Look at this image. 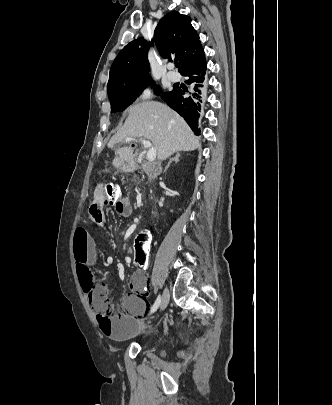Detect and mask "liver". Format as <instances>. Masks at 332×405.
<instances>
[{"instance_id": "liver-1", "label": "liver", "mask_w": 332, "mask_h": 405, "mask_svg": "<svg viewBox=\"0 0 332 405\" xmlns=\"http://www.w3.org/2000/svg\"><path fill=\"white\" fill-rule=\"evenodd\" d=\"M128 112L124 126L109 141V148L128 137L144 138L152 142L157 158L166 160L175 152L193 151L201 146L183 118L162 103L145 101L131 106ZM132 153L131 147L116 150L119 158Z\"/></svg>"}]
</instances>
